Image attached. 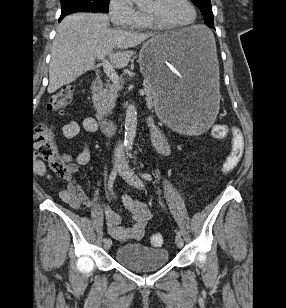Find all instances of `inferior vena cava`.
I'll list each match as a JSON object with an SVG mask.
<instances>
[{
  "instance_id": "602c4592",
  "label": "inferior vena cava",
  "mask_w": 286,
  "mask_h": 308,
  "mask_svg": "<svg viewBox=\"0 0 286 308\" xmlns=\"http://www.w3.org/2000/svg\"><path fill=\"white\" fill-rule=\"evenodd\" d=\"M118 147H121V144H118Z\"/></svg>"
}]
</instances>
